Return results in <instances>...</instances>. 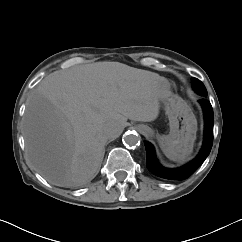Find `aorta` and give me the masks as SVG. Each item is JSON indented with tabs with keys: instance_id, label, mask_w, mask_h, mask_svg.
I'll use <instances>...</instances> for the list:
<instances>
[{
	"instance_id": "762f6f07",
	"label": "aorta",
	"mask_w": 242,
	"mask_h": 242,
	"mask_svg": "<svg viewBox=\"0 0 242 242\" xmlns=\"http://www.w3.org/2000/svg\"><path fill=\"white\" fill-rule=\"evenodd\" d=\"M140 140V136L134 132H127L123 137V143L128 147L139 146Z\"/></svg>"
}]
</instances>
